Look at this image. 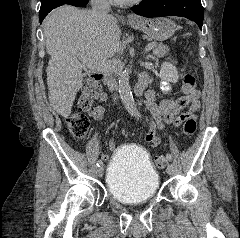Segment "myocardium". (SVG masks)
Here are the masks:
<instances>
[{"label":"myocardium","instance_id":"myocardium-1","mask_svg":"<svg viewBox=\"0 0 240 238\" xmlns=\"http://www.w3.org/2000/svg\"><path fill=\"white\" fill-rule=\"evenodd\" d=\"M141 1L142 0H121L120 3L127 4V5H132V4H137Z\"/></svg>","mask_w":240,"mask_h":238}]
</instances>
